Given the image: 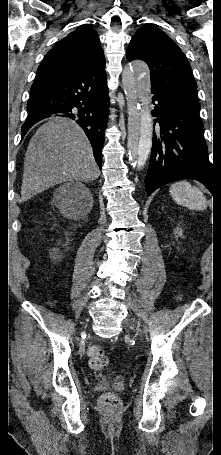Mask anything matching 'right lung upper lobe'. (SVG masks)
Instances as JSON below:
<instances>
[{"label":"right lung upper lobe","mask_w":221,"mask_h":455,"mask_svg":"<svg viewBox=\"0 0 221 455\" xmlns=\"http://www.w3.org/2000/svg\"><path fill=\"white\" fill-rule=\"evenodd\" d=\"M105 62L97 32L85 25L59 41L38 67L34 94L52 82L95 63Z\"/></svg>","instance_id":"obj_1"}]
</instances>
